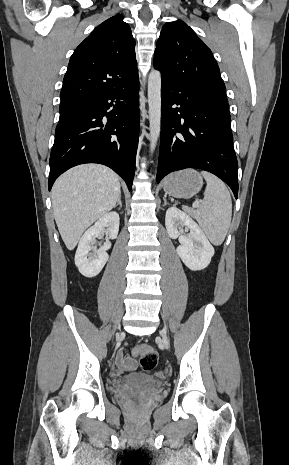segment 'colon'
Listing matches in <instances>:
<instances>
[{
    "instance_id": "1",
    "label": "colon",
    "mask_w": 289,
    "mask_h": 465,
    "mask_svg": "<svg viewBox=\"0 0 289 465\" xmlns=\"http://www.w3.org/2000/svg\"><path fill=\"white\" fill-rule=\"evenodd\" d=\"M134 353L140 358V366L144 371L153 370L158 361L156 351L149 345L141 344L134 348Z\"/></svg>"
}]
</instances>
